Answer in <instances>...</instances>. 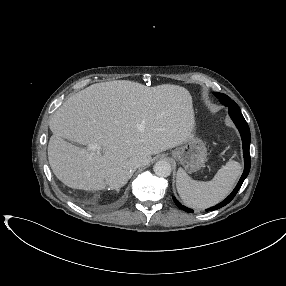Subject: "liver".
I'll list each match as a JSON object with an SVG mask.
<instances>
[{
    "mask_svg": "<svg viewBox=\"0 0 286 286\" xmlns=\"http://www.w3.org/2000/svg\"><path fill=\"white\" fill-rule=\"evenodd\" d=\"M49 127L48 160L62 183L85 191L116 190L127 183L134 162L147 165L151 155L194 137L192 96L178 85L96 83L65 101Z\"/></svg>",
    "mask_w": 286,
    "mask_h": 286,
    "instance_id": "6515ba94",
    "label": "liver"
}]
</instances>
